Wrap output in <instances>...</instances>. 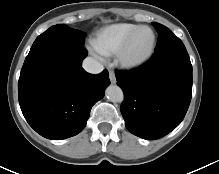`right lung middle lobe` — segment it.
Instances as JSON below:
<instances>
[{"instance_id": "1", "label": "right lung middle lobe", "mask_w": 219, "mask_h": 174, "mask_svg": "<svg viewBox=\"0 0 219 174\" xmlns=\"http://www.w3.org/2000/svg\"><path fill=\"white\" fill-rule=\"evenodd\" d=\"M85 36V33L72 29L65 24L54 25L36 38L29 54L54 43L84 46Z\"/></svg>"}]
</instances>
